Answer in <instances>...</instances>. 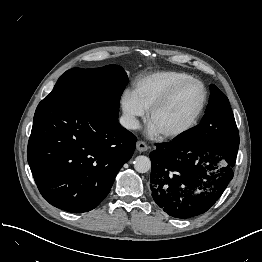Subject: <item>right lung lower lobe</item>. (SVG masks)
Wrapping results in <instances>:
<instances>
[{"mask_svg": "<svg viewBox=\"0 0 262 262\" xmlns=\"http://www.w3.org/2000/svg\"><path fill=\"white\" fill-rule=\"evenodd\" d=\"M136 137L117 119L69 101H41L27 159L42 196L62 210L94 209L132 157Z\"/></svg>", "mask_w": 262, "mask_h": 262, "instance_id": "98d812e1", "label": "right lung lower lobe"}]
</instances>
